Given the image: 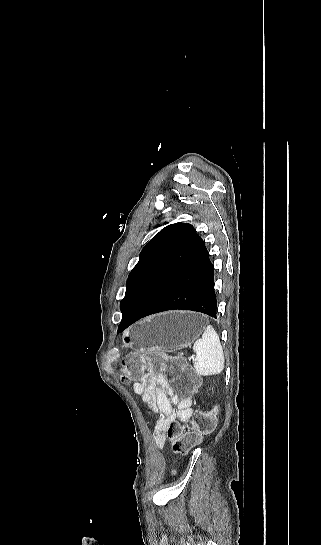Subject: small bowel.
Returning <instances> with one entry per match:
<instances>
[{
	"instance_id": "obj_1",
	"label": "small bowel",
	"mask_w": 321,
	"mask_h": 545,
	"mask_svg": "<svg viewBox=\"0 0 321 545\" xmlns=\"http://www.w3.org/2000/svg\"><path fill=\"white\" fill-rule=\"evenodd\" d=\"M134 391L141 396L149 408L159 415L153 437L162 448L165 441V430L172 421L187 422L192 415L190 398H181L168 386L164 377L144 376L134 384ZM176 406L177 409H174Z\"/></svg>"
}]
</instances>
